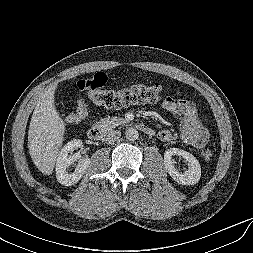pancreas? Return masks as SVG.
Wrapping results in <instances>:
<instances>
[{
  "label": "pancreas",
  "mask_w": 253,
  "mask_h": 253,
  "mask_svg": "<svg viewBox=\"0 0 253 253\" xmlns=\"http://www.w3.org/2000/svg\"><path fill=\"white\" fill-rule=\"evenodd\" d=\"M125 123L126 121L123 118L108 117L101 119L99 122L96 123V125L100 127L102 130H109L115 128L118 125H123Z\"/></svg>",
  "instance_id": "1"
}]
</instances>
